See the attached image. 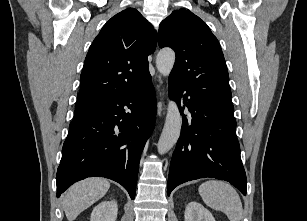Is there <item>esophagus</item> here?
Returning a JSON list of instances; mask_svg holds the SVG:
<instances>
[{"label": "esophagus", "mask_w": 307, "mask_h": 221, "mask_svg": "<svg viewBox=\"0 0 307 221\" xmlns=\"http://www.w3.org/2000/svg\"><path fill=\"white\" fill-rule=\"evenodd\" d=\"M157 112H158V115H161V112H162V105L159 103L158 104V110H157Z\"/></svg>", "instance_id": "obj_1"}]
</instances>
